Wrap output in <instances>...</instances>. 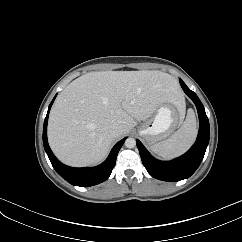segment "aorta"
I'll return each mask as SVG.
<instances>
[{
	"label": "aorta",
	"mask_w": 242,
	"mask_h": 242,
	"mask_svg": "<svg viewBox=\"0 0 242 242\" xmlns=\"http://www.w3.org/2000/svg\"><path fill=\"white\" fill-rule=\"evenodd\" d=\"M125 146L127 148H134L136 146V140L134 138H127L125 141Z\"/></svg>",
	"instance_id": "762f6f07"
}]
</instances>
